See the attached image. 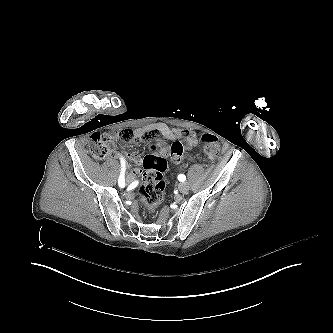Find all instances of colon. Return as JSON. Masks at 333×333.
<instances>
[{
	"label": "colon",
	"mask_w": 333,
	"mask_h": 333,
	"mask_svg": "<svg viewBox=\"0 0 333 333\" xmlns=\"http://www.w3.org/2000/svg\"><path fill=\"white\" fill-rule=\"evenodd\" d=\"M156 128H149L145 134L137 133L135 136L132 131L126 129L120 133V139L125 144H144L147 141H154L158 137ZM118 134L115 131L101 129L98 133L93 134L90 138V152L95 159H103L114 150ZM153 144V143H152ZM165 145V143H164ZM153 144L148 146L149 152L156 154H147L144 156L142 165L143 182L139 189V196L142 199L141 208L145 213H154L162 201L164 183L162 181V173L165 170L166 155L171 156L176 160H182L186 152L181 143L176 142L173 147L171 145ZM204 151L211 157H217L220 153L215 139L207 138L204 144Z\"/></svg>",
	"instance_id": "obj_1"
}]
</instances>
